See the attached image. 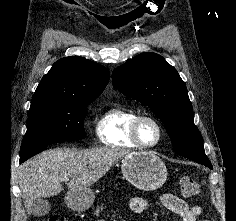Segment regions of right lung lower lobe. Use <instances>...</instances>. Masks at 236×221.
Instances as JSON below:
<instances>
[{"label": "right lung lower lobe", "instance_id": "obj_1", "mask_svg": "<svg viewBox=\"0 0 236 221\" xmlns=\"http://www.w3.org/2000/svg\"><path fill=\"white\" fill-rule=\"evenodd\" d=\"M44 149H45V146L44 147L35 148V149L29 150L27 152H24V153L20 154V163H23L24 161H26L30 157L40 153Z\"/></svg>", "mask_w": 236, "mask_h": 221}]
</instances>
